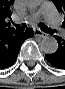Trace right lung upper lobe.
Here are the masks:
<instances>
[{
  "mask_svg": "<svg viewBox=\"0 0 65 89\" xmlns=\"http://www.w3.org/2000/svg\"><path fill=\"white\" fill-rule=\"evenodd\" d=\"M14 0H0V31L11 29L6 21L11 19V5Z\"/></svg>",
  "mask_w": 65,
  "mask_h": 89,
  "instance_id": "right-lung-upper-lobe-1",
  "label": "right lung upper lobe"
}]
</instances>
